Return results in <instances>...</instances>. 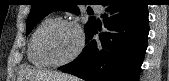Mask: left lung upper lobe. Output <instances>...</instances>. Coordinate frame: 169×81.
Listing matches in <instances>:
<instances>
[{"mask_svg":"<svg viewBox=\"0 0 169 81\" xmlns=\"http://www.w3.org/2000/svg\"><path fill=\"white\" fill-rule=\"evenodd\" d=\"M31 12L27 19V30L26 35H28L34 26L43 19L49 13L56 10L70 11L75 14L80 13L79 5L76 1L72 0H32ZM95 19L93 17L89 18V21L85 25L86 34L94 26Z\"/></svg>","mask_w":169,"mask_h":81,"instance_id":"obj_1","label":"left lung upper lobe"}]
</instances>
